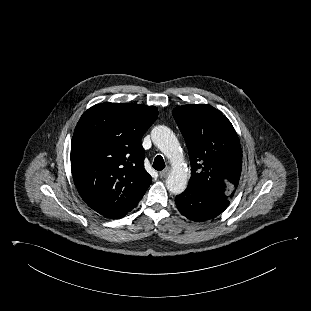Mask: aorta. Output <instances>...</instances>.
<instances>
[{"label":"aorta","mask_w":311,"mask_h":311,"mask_svg":"<svg viewBox=\"0 0 311 311\" xmlns=\"http://www.w3.org/2000/svg\"><path fill=\"white\" fill-rule=\"evenodd\" d=\"M151 138L156 147L172 163V171L166 179V187L173 194H181L187 187L188 174L183 165V156L180 150V144L173 131L163 125L153 128Z\"/></svg>","instance_id":"obj_1"}]
</instances>
